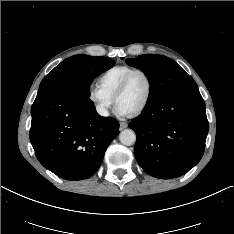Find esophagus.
Wrapping results in <instances>:
<instances>
[{"label": "esophagus", "mask_w": 234, "mask_h": 234, "mask_svg": "<svg viewBox=\"0 0 234 234\" xmlns=\"http://www.w3.org/2000/svg\"><path fill=\"white\" fill-rule=\"evenodd\" d=\"M128 126L126 122H120V130L125 129Z\"/></svg>", "instance_id": "obj_1"}]
</instances>
